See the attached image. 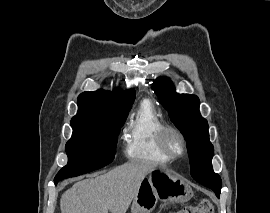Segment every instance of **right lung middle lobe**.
<instances>
[{
	"label": "right lung middle lobe",
	"mask_w": 270,
	"mask_h": 213,
	"mask_svg": "<svg viewBox=\"0 0 270 213\" xmlns=\"http://www.w3.org/2000/svg\"><path fill=\"white\" fill-rule=\"evenodd\" d=\"M127 115L128 112L111 119L71 121L73 134L65 146L68 164L58 172L54 182L88 173L112 162L119 128Z\"/></svg>",
	"instance_id": "obj_1"
}]
</instances>
